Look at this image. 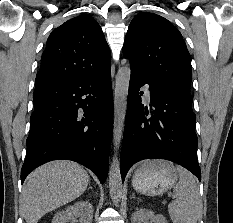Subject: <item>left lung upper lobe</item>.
I'll list each match as a JSON object with an SVG mask.
<instances>
[{"label":"left lung upper lobe","instance_id":"left-lung-upper-lobe-1","mask_svg":"<svg viewBox=\"0 0 233 223\" xmlns=\"http://www.w3.org/2000/svg\"><path fill=\"white\" fill-rule=\"evenodd\" d=\"M123 54L152 84L190 94L191 57L181 33L167 19L149 12L136 15Z\"/></svg>","mask_w":233,"mask_h":223}]
</instances>
